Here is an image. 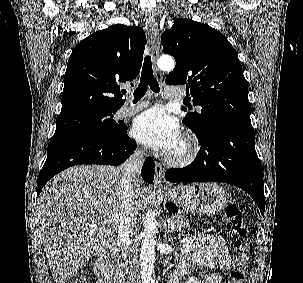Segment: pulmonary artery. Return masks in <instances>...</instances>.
I'll use <instances>...</instances> for the list:
<instances>
[{
  "mask_svg": "<svg viewBox=\"0 0 303 283\" xmlns=\"http://www.w3.org/2000/svg\"><path fill=\"white\" fill-rule=\"evenodd\" d=\"M184 92L180 87L177 86H167L165 88V97L167 99H176L181 98ZM149 102L147 100H140L134 104L127 103L123 107L120 108L118 115L119 117H127L130 115L135 114L136 112L140 111L141 109L148 106Z\"/></svg>",
  "mask_w": 303,
  "mask_h": 283,
  "instance_id": "pulmonary-artery-1",
  "label": "pulmonary artery"
}]
</instances>
